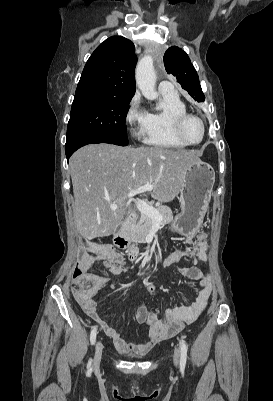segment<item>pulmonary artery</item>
Returning a JSON list of instances; mask_svg holds the SVG:
<instances>
[{
	"label": "pulmonary artery",
	"instance_id": "e3ab8cb5",
	"mask_svg": "<svg viewBox=\"0 0 273 401\" xmlns=\"http://www.w3.org/2000/svg\"><path fill=\"white\" fill-rule=\"evenodd\" d=\"M176 91H177V88L175 85H170V83L168 81H164L162 83L161 92L163 94H175Z\"/></svg>",
	"mask_w": 273,
	"mask_h": 401
}]
</instances>
